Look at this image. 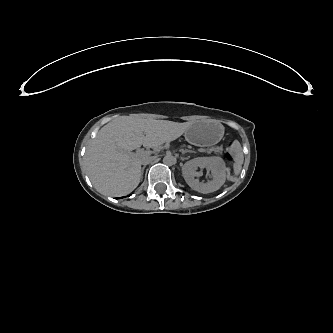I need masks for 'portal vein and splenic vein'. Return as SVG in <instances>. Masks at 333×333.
Returning a JSON list of instances; mask_svg holds the SVG:
<instances>
[{
	"instance_id": "portal-vein-and-splenic-vein-1",
	"label": "portal vein and splenic vein",
	"mask_w": 333,
	"mask_h": 333,
	"mask_svg": "<svg viewBox=\"0 0 333 333\" xmlns=\"http://www.w3.org/2000/svg\"><path fill=\"white\" fill-rule=\"evenodd\" d=\"M151 154V151H144V150H142V151H139V152H137V153H130V155H136V156H138V157H140V158H146V157H148L149 155Z\"/></svg>"
}]
</instances>
